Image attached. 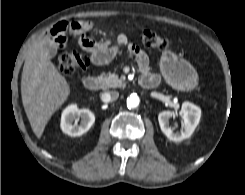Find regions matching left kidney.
Returning <instances> with one entry per match:
<instances>
[{
    "label": "left kidney",
    "instance_id": "left-kidney-1",
    "mask_svg": "<svg viewBox=\"0 0 245 195\" xmlns=\"http://www.w3.org/2000/svg\"><path fill=\"white\" fill-rule=\"evenodd\" d=\"M179 115L182 117L184 122V129L180 132H174L169 124V120L174 113L171 111H163L158 115V121L161 128V131L166 135L168 139L174 142H180L184 139L189 138L197 125L199 124L201 117V110L196 105L184 102L182 108L179 112Z\"/></svg>",
    "mask_w": 245,
    "mask_h": 195
}]
</instances>
